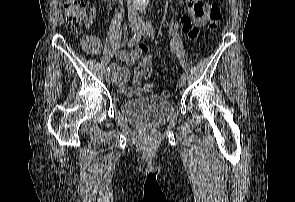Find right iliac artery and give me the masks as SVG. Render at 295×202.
I'll use <instances>...</instances> for the list:
<instances>
[{
  "instance_id": "1",
  "label": "right iliac artery",
  "mask_w": 295,
  "mask_h": 202,
  "mask_svg": "<svg viewBox=\"0 0 295 202\" xmlns=\"http://www.w3.org/2000/svg\"><path fill=\"white\" fill-rule=\"evenodd\" d=\"M142 34H143V32L141 29L137 30V32L134 34V36L129 41L128 45L133 46V45L137 44L140 41ZM109 74H110V67H108L106 70V75H109Z\"/></svg>"
}]
</instances>
